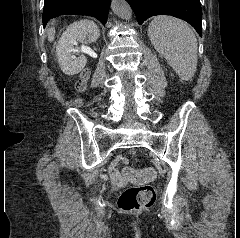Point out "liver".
I'll list each match as a JSON object with an SVG mask.
<instances>
[{
	"label": "liver",
	"mask_w": 240,
	"mask_h": 238,
	"mask_svg": "<svg viewBox=\"0 0 240 238\" xmlns=\"http://www.w3.org/2000/svg\"><path fill=\"white\" fill-rule=\"evenodd\" d=\"M48 35V41H53L55 38V29L54 28H50L47 32Z\"/></svg>",
	"instance_id": "6515ba94"
}]
</instances>
